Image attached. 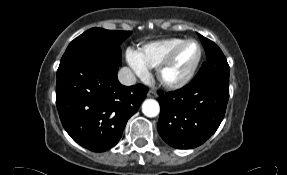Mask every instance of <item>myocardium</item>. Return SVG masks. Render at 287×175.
I'll return each mask as SVG.
<instances>
[{
	"instance_id": "obj_1",
	"label": "myocardium",
	"mask_w": 287,
	"mask_h": 175,
	"mask_svg": "<svg viewBox=\"0 0 287 175\" xmlns=\"http://www.w3.org/2000/svg\"><path fill=\"white\" fill-rule=\"evenodd\" d=\"M189 43H195L198 46V57L192 66V68L189 70V72L177 80H169L165 77V72L167 69L172 65L173 61L175 60L177 54L180 52V50ZM203 57V49L201 44L195 40V39H187L178 44L176 47H174L170 53L165 57V59L160 63V65L157 67V77L160 83L168 88V89H180L185 87L187 84H189L192 79L194 78Z\"/></svg>"
}]
</instances>
